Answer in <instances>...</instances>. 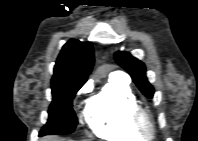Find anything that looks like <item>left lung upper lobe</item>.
<instances>
[{
    "mask_svg": "<svg viewBox=\"0 0 198 141\" xmlns=\"http://www.w3.org/2000/svg\"><path fill=\"white\" fill-rule=\"evenodd\" d=\"M115 59L116 62L131 75L140 91L148 98H152L154 89L147 80L145 65L127 52H117Z\"/></svg>",
    "mask_w": 198,
    "mask_h": 141,
    "instance_id": "5c2ea615",
    "label": "left lung upper lobe"
}]
</instances>
